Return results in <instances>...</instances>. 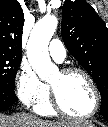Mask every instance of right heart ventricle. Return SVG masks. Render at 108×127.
I'll return each mask as SVG.
<instances>
[{
    "instance_id": "right-heart-ventricle-1",
    "label": "right heart ventricle",
    "mask_w": 108,
    "mask_h": 127,
    "mask_svg": "<svg viewBox=\"0 0 108 127\" xmlns=\"http://www.w3.org/2000/svg\"><path fill=\"white\" fill-rule=\"evenodd\" d=\"M34 110L38 114L44 115V116H53L56 114V111L54 110L51 104L50 91L48 87H47L46 94L42 98V100L39 101L37 104H35Z\"/></svg>"
}]
</instances>
